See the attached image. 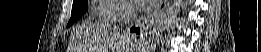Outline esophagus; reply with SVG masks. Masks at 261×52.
Listing matches in <instances>:
<instances>
[{"label": "esophagus", "instance_id": "esophagus-1", "mask_svg": "<svg viewBox=\"0 0 261 52\" xmlns=\"http://www.w3.org/2000/svg\"><path fill=\"white\" fill-rule=\"evenodd\" d=\"M168 4V0H160L153 11H151L146 16L140 18L138 21L135 22V24L128 28V34L135 39L142 38L144 35L147 34L151 25H153L156 18L166 9Z\"/></svg>", "mask_w": 261, "mask_h": 52}]
</instances>
